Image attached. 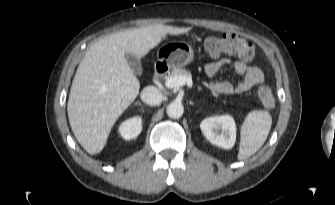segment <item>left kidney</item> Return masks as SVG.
<instances>
[{"instance_id": "1", "label": "left kidney", "mask_w": 335, "mask_h": 205, "mask_svg": "<svg viewBox=\"0 0 335 205\" xmlns=\"http://www.w3.org/2000/svg\"><path fill=\"white\" fill-rule=\"evenodd\" d=\"M200 128L206 139L218 147L230 149L235 144L236 123L230 115L206 118Z\"/></svg>"}]
</instances>
